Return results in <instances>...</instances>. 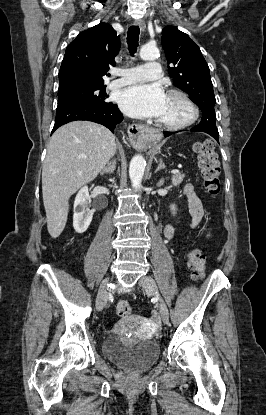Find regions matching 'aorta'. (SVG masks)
I'll use <instances>...</instances> for the list:
<instances>
[{"mask_svg":"<svg viewBox=\"0 0 266 415\" xmlns=\"http://www.w3.org/2000/svg\"><path fill=\"white\" fill-rule=\"evenodd\" d=\"M159 56V50L156 46L144 45L140 50V57L143 60H154ZM145 160L141 155L132 158L129 166V177L132 187L140 188L145 171Z\"/></svg>","mask_w":266,"mask_h":415,"instance_id":"aorta-1","label":"aorta"}]
</instances>
